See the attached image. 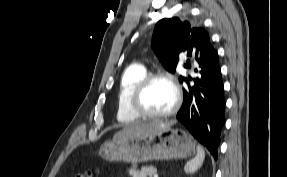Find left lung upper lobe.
Segmentation results:
<instances>
[{
    "instance_id": "5c2ea615",
    "label": "left lung upper lobe",
    "mask_w": 287,
    "mask_h": 177,
    "mask_svg": "<svg viewBox=\"0 0 287 177\" xmlns=\"http://www.w3.org/2000/svg\"><path fill=\"white\" fill-rule=\"evenodd\" d=\"M152 48L160 59L164 68L174 73L180 52H187L188 56H195L197 62L207 58L212 48L208 33L202 28L192 27L188 21L178 17L160 20L154 29ZM187 77L179 76L184 83Z\"/></svg>"
}]
</instances>
